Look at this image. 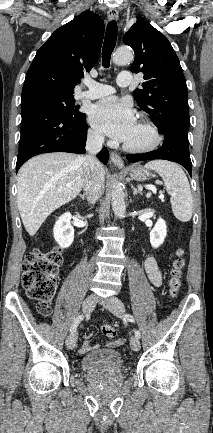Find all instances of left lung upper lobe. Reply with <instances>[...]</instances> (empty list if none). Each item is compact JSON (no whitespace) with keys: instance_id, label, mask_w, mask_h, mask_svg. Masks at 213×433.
I'll use <instances>...</instances> for the list:
<instances>
[{"instance_id":"5c2ea615","label":"left lung upper lobe","mask_w":213,"mask_h":433,"mask_svg":"<svg viewBox=\"0 0 213 433\" xmlns=\"http://www.w3.org/2000/svg\"><path fill=\"white\" fill-rule=\"evenodd\" d=\"M124 43L135 53L131 71L144 73L142 89L134 91L138 105L152 116L160 132L177 130L188 134L186 80L168 39L149 22L138 18L124 35Z\"/></svg>"}]
</instances>
